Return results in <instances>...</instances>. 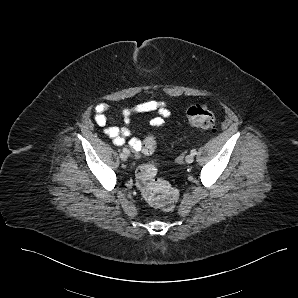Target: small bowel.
<instances>
[{"mask_svg": "<svg viewBox=\"0 0 298 298\" xmlns=\"http://www.w3.org/2000/svg\"><path fill=\"white\" fill-rule=\"evenodd\" d=\"M110 106L107 103H100L95 108V122L100 127H105L107 124V112ZM154 113L156 114L149 120V125L152 127H161L165 124V120L172 116V112L165 101L148 100L138 103L132 107H126L122 110L121 115L124 121L123 127H105L104 133L110 137L113 143L117 146L125 144L133 135L131 120L135 114ZM130 148L136 152H140L141 141L137 138H131L128 141Z\"/></svg>", "mask_w": 298, "mask_h": 298, "instance_id": "obj_1", "label": "small bowel"}]
</instances>
